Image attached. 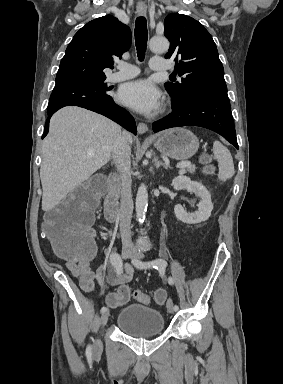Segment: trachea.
Wrapping results in <instances>:
<instances>
[{
	"instance_id": "1",
	"label": "trachea",
	"mask_w": 283,
	"mask_h": 384,
	"mask_svg": "<svg viewBox=\"0 0 283 384\" xmlns=\"http://www.w3.org/2000/svg\"><path fill=\"white\" fill-rule=\"evenodd\" d=\"M148 41L147 22L145 17H138L135 22V46L137 50L138 59L142 62L144 60L146 47ZM175 78V75H170Z\"/></svg>"
}]
</instances>
